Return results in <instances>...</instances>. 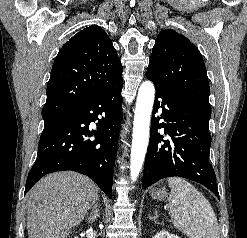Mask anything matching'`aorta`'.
<instances>
[{
  "label": "aorta",
  "mask_w": 247,
  "mask_h": 238,
  "mask_svg": "<svg viewBox=\"0 0 247 238\" xmlns=\"http://www.w3.org/2000/svg\"><path fill=\"white\" fill-rule=\"evenodd\" d=\"M155 97L152 82L145 81L140 85L133 123L132 147L130 156V177L136 181L142 169L148 143L151 113Z\"/></svg>",
  "instance_id": "aorta-1"
}]
</instances>
